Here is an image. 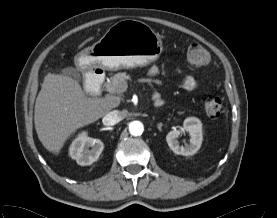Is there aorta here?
Masks as SVG:
<instances>
[{
  "label": "aorta",
  "instance_id": "obj_1",
  "mask_svg": "<svg viewBox=\"0 0 277 218\" xmlns=\"http://www.w3.org/2000/svg\"><path fill=\"white\" fill-rule=\"evenodd\" d=\"M144 127L143 124L139 121H133L129 125L130 134L133 136H140L143 133Z\"/></svg>",
  "mask_w": 277,
  "mask_h": 218
}]
</instances>
